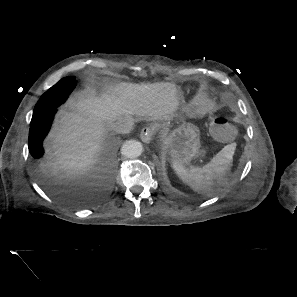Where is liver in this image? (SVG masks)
<instances>
[{
    "label": "liver",
    "instance_id": "liver-1",
    "mask_svg": "<svg viewBox=\"0 0 297 297\" xmlns=\"http://www.w3.org/2000/svg\"><path fill=\"white\" fill-rule=\"evenodd\" d=\"M179 104L178 88L168 82H121L104 90L79 94L60 110L48 137L49 168L66 187L82 191L91 185L87 172L97 163L105 134L124 116L167 119Z\"/></svg>",
    "mask_w": 297,
    "mask_h": 297
}]
</instances>
